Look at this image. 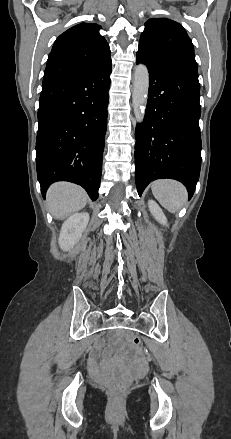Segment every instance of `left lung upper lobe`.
I'll return each instance as SVG.
<instances>
[{"label": "left lung upper lobe", "mask_w": 231, "mask_h": 439, "mask_svg": "<svg viewBox=\"0 0 231 439\" xmlns=\"http://www.w3.org/2000/svg\"><path fill=\"white\" fill-rule=\"evenodd\" d=\"M136 55L156 65L198 72L191 39L179 23L167 18L145 23Z\"/></svg>", "instance_id": "left-lung-upper-lobe-1"}]
</instances>
